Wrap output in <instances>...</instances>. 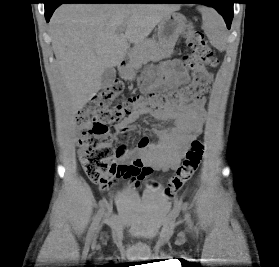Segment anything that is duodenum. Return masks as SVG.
<instances>
[{"instance_id": "duodenum-1", "label": "duodenum", "mask_w": 279, "mask_h": 267, "mask_svg": "<svg viewBox=\"0 0 279 267\" xmlns=\"http://www.w3.org/2000/svg\"><path fill=\"white\" fill-rule=\"evenodd\" d=\"M118 68L123 74H129V72L131 71V59L129 58V56L124 55L121 58L118 64Z\"/></svg>"}]
</instances>
